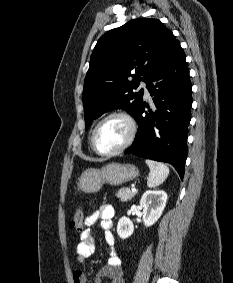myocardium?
Here are the masks:
<instances>
[{"instance_id": "obj_1", "label": "myocardium", "mask_w": 233, "mask_h": 283, "mask_svg": "<svg viewBox=\"0 0 233 283\" xmlns=\"http://www.w3.org/2000/svg\"><path fill=\"white\" fill-rule=\"evenodd\" d=\"M115 117H119L124 119L128 126H129V134L128 137L126 139V141L117 149L110 151V152H102L100 151L97 146H96V135L97 132L99 130V128L101 127V125L106 122L107 120L111 119V118H115ZM138 132V124L136 119L134 118V116L124 110H118V111H113L110 112L109 114H107L106 116H104L94 127L92 134H91V146L92 149L99 155L101 156H114V155H118L120 153H122L123 151H125L127 148H129L132 143L134 142L136 135Z\"/></svg>"}]
</instances>
